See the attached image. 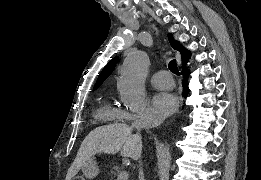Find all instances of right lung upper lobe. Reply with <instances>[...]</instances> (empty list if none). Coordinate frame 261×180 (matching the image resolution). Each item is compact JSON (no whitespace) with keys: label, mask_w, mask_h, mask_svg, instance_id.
I'll list each match as a JSON object with an SVG mask.
<instances>
[{"label":"right lung upper lobe","mask_w":261,"mask_h":180,"mask_svg":"<svg viewBox=\"0 0 261 180\" xmlns=\"http://www.w3.org/2000/svg\"><path fill=\"white\" fill-rule=\"evenodd\" d=\"M168 38H169V42H170L171 46L181 53L182 63H183V65H185L189 58V52L186 51L183 46L179 45V42L174 41L172 34L169 33ZM117 60H118V57L112 59L106 65V67L103 69V71L101 72V74L99 75V77L97 79V82L94 86V90L97 89L102 84V82L111 74V72L114 70Z\"/></svg>","instance_id":"1"}]
</instances>
